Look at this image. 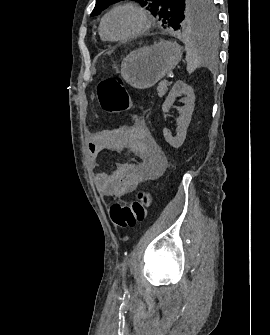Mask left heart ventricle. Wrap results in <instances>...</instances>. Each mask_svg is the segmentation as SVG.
I'll return each mask as SVG.
<instances>
[{"instance_id": "obj_1", "label": "left heart ventricle", "mask_w": 270, "mask_h": 335, "mask_svg": "<svg viewBox=\"0 0 270 335\" xmlns=\"http://www.w3.org/2000/svg\"><path fill=\"white\" fill-rule=\"evenodd\" d=\"M142 25V18L132 9H119L108 17L106 30L112 37H121L138 30Z\"/></svg>"}]
</instances>
